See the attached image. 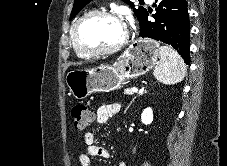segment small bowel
<instances>
[{"mask_svg": "<svg viewBox=\"0 0 227 166\" xmlns=\"http://www.w3.org/2000/svg\"><path fill=\"white\" fill-rule=\"evenodd\" d=\"M121 109L119 103L102 104L98 107L96 114L94 115V121L96 124L106 123L112 116L116 115ZM97 137L96 130L84 133L83 141L85 143V149L79 156V162L81 166H91V158L100 156L103 158H110V153L95 144ZM118 166H126L124 161H120Z\"/></svg>", "mask_w": 227, "mask_h": 166, "instance_id": "obj_1", "label": "small bowel"}]
</instances>
